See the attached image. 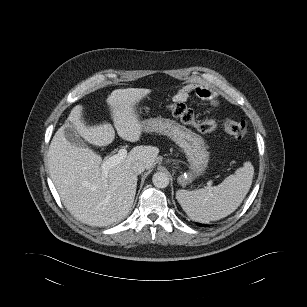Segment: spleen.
<instances>
[{"label":"spleen","mask_w":307,"mask_h":307,"mask_svg":"<svg viewBox=\"0 0 307 307\" xmlns=\"http://www.w3.org/2000/svg\"><path fill=\"white\" fill-rule=\"evenodd\" d=\"M253 175V165L245 162L219 185L194 191L178 190L176 199L192 220L202 223L216 221L240 206L251 187Z\"/></svg>","instance_id":"3e777b00"}]
</instances>
